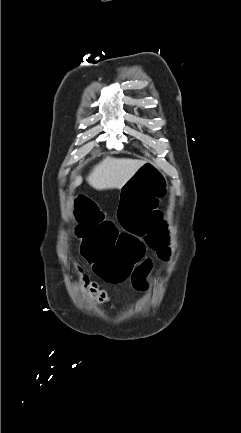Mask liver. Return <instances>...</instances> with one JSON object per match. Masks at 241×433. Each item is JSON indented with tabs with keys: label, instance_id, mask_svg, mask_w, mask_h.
<instances>
[{
	"label": "liver",
	"instance_id": "1",
	"mask_svg": "<svg viewBox=\"0 0 241 433\" xmlns=\"http://www.w3.org/2000/svg\"><path fill=\"white\" fill-rule=\"evenodd\" d=\"M143 160L106 157L87 177V182L98 191L119 189L128 182L136 171L145 163ZM82 183V178L77 176L72 187Z\"/></svg>",
	"mask_w": 241,
	"mask_h": 433
}]
</instances>
